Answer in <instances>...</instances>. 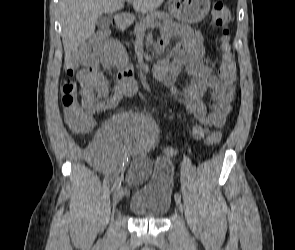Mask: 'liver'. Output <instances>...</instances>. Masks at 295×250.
Here are the masks:
<instances>
[{
	"label": "liver",
	"instance_id": "6515ba94",
	"mask_svg": "<svg viewBox=\"0 0 295 250\" xmlns=\"http://www.w3.org/2000/svg\"><path fill=\"white\" fill-rule=\"evenodd\" d=\"M164 0H133L137 12H154ZM125 0H60L62 42L65 57H69L90 38L102 14L113 13L124 7Z\"/></svg>",
	"mask_w": 295,
	"mask_h": 250
}]
</instances>
